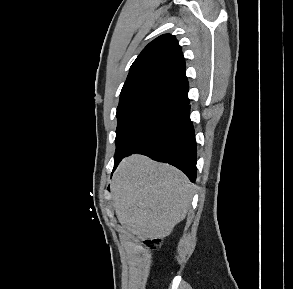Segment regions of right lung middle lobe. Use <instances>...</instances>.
<instances>
[{"mask_svg":"<svg viewBox=\"0 0 293 289\" xmlns=\"http://www.w3.org/2000/svg\"><path fill=\"white\" fill-rule=\"evenodd\" d=\"M178 107L158 98H133L119 103L116 153L124 150L154 123Z\"/></svg>","mask_w":293,"mask_h":289,"instance_id":"obj_1","label":"right lung middle lobe"}]
</instances>
